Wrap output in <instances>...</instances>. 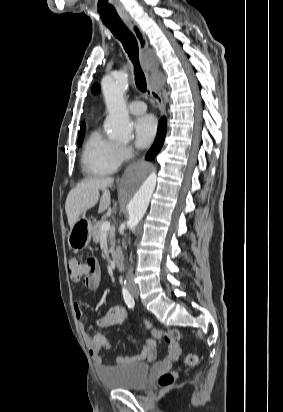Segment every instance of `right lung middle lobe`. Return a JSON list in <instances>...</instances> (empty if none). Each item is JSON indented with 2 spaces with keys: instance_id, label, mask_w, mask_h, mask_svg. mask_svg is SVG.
I'll return each mask as SVG.
<instances>
[{
  "instance_id": "dd1d6c3e",
  "label": "right lung middle lobe",
  "mask_w": 283,
  "mask_h": 412,
  "mask_svg": "<svg viewBox=\"0 0 283 412\" xmlns=\"http://www.w3.org/2000/svg\"><path fill=\"white\" fill-rule=\"evenodd\" d=\"M83 137H84V134L79 135V141H81L83 139ZM79 144H80V142H79Z\"/></svg>"
}]
</instances>
